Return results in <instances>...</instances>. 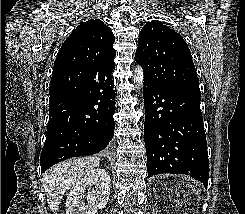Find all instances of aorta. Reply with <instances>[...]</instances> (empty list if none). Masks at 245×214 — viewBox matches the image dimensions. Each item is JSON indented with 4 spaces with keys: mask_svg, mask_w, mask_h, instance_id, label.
<instances>
[{
    "mask_svg": "<svg viewBox=\"0 0 245 214\" xmlns=\"http://www.w3.org/2000/svg\"><path fill=\"white\" fill-rule=\"evenodd\" d=\"M132 78H133V82L136 85L137 89L141 90V88L143 87V82H144L143 69L139 66L135 67Z\"/></svg>",
    "mask_w": 245,
    "mask_h": 214,
    "instance_id": "762f6f07",
    "label": "aorta"
}]
</instances>
